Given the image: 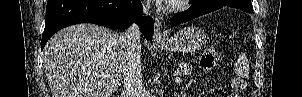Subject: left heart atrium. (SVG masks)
<instances>
[{
  "instance_id": "1",
  "label": "left heart atrium",
  "mask_w": 302,
  "mask_h": 97,
  "mask_svg": "<svg viewBox=\"0 0 302 97\" xmlns=\"http://www.w3.org/2000/svg\"><path fill=\"white\" fill-rule=\"evenodd\" d=\"M161 2L167 3V4H175L180 2V0H163Z\"/></svg>"
}]
</instances>
